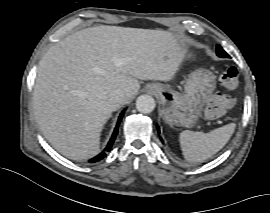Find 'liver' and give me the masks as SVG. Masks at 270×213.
Returning a JSON list of instances; mask_svg holds the SVG:
<instances>
[{
  "mask_svg": "<svg viewBox=\"0 0 270 213\" xmlns=\"http://www.w3.org/2000/svg\"><path fill=\"white\" fill-rule=\"evenodd\" d=\"M187 49L162 30L96 26L76 32L44 54L33 92L36 121L48 142L72 160L100 151L112 112L129 102L140 80L170 81ZM123 104L110 101L113 90Z\"/></svg>",
  "mask_w": 270,
  "mask_h": 213,
  "instance_id": "1",
  "label": "liver"
}]
</instances>
